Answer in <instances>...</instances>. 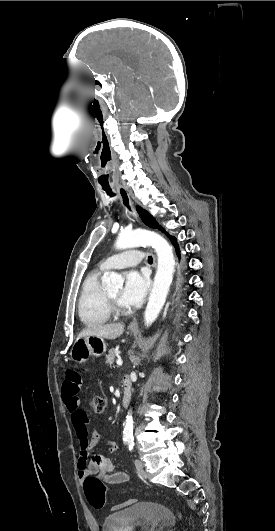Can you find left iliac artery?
Instances as JSON below:
<instances>
[{
    "label": "left iliac artery",
    "mask_w": 275,
    "mask_h": 531,
    "mask_svg": "<svg viewBox=\"0 0 275 531\" xmlns=\"http://www.w3.org/2000/svg\"><path fill=\"white\" fill-rule=\"evenodd\" d=\"M127 444H128V448H129V450L132 451L133 448H134V441H133V439H128V440H127Z\"/></svg>",
    "instance_id": "left-iliac-artery-1"
}]
</instances>
